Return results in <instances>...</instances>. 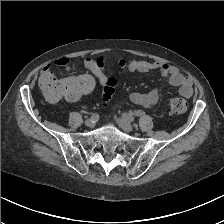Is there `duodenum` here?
Wrapping results in <instances>:
<instances>
[{
  "label": "duodenum",
  "instance_id": "410a0bca",
  "mask_svg": "<svg viewBox=\"0 0 224 224\" xmlns=\"http://www.w3.org/2000/svg\"><path fill=\"white\" fill-rule=\"evenodd\" d=\"M52 86H57L56 82H53Z\"/></svg>",
  "mask_w": 224,
  "mask_h": 224
}]
</instances>
